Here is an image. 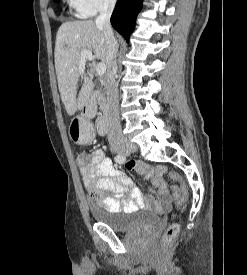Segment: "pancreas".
I'll return each instance as SVG.
<instances>
[{"mask_svg":"<svg viewBox=\"0 0 247 275\" xmlns=\"http://www.w3.org/2000/svg\"><path fill=\"white\" fill-rule=\"evenodd\" d=\"M98 104H99V109L102 112H105L107 110L108 104H107V100L103 95H99L97 98Z\"/></svg>","mask_w":247,"mask_h":275,"instance_id":"1","label":"pancreas"}]
</instances>
